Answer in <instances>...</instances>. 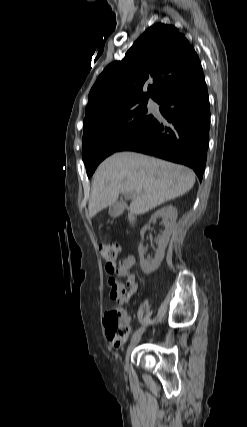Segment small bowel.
I'll return each instance as SVG.
<instances>
[{
	"label": "small bowel",
	"instance_id": "obj_1",
	"mask_svg": "<svg viewBox=\"0 0 247 427\" xmlns=\"http://www.w3.org/2000/svg\"><path fill=\"white\" fill-rule=\"evenodd\" d=\"M136 258L133 254H129L118 263H107L105 271L109 275L108 284L110 287V297L118 305H123L128 298L133 295L138 288L136 275L132 271L135 265ZM116 275L118 279L113 277ZM122 279V280H119ZM130 321V317H126Z\"/></svg>",
	"mask_w": 247,
	"mask_h": 427
}]
</instances>
